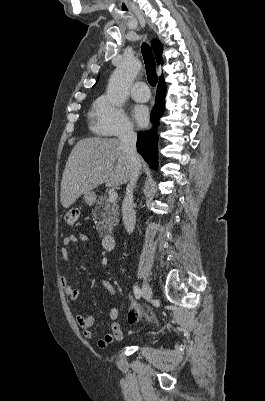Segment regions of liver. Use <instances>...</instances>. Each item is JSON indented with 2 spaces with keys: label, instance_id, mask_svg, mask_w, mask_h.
Listing matches in <instances>:
<instances>
[{
  "label": "liver",
  "instance_id": "obj_1",
  "mask_svg": "<svg viewBox=\"0 0 265 401\" xmlns=\"http://www.w3.org/2000/svg\"><path fill=\"white\" fill-rule=\"evenodd\" d=\"M130 174L131 166L120 138H82L72 148L64 168L62 207L69 209L78 196L102 182L107 186L125 184Z\"/></svg>",
  "mask_w": 265,
  "mask_h": 401
}]
</instances>
